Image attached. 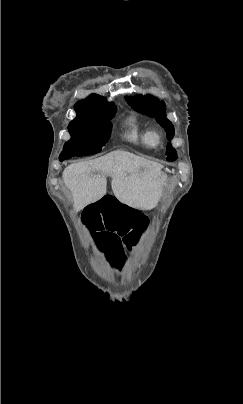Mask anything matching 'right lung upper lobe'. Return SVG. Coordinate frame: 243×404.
Wrapping results in <instances>:
<instances>
[{
  "instance_id": "cb5924a9",
  "label": "right lung upper lobe",
  "mask_w": 243,
  "mask_h": 404,
  "mask_svg": "<svg viewBox=\"0 0 243 404\" xmlns=\"http://www.w3.org/2000/svg\"><path fill=\"white\" fill-rule=\"evenodd\" d=\"M112 108H116L112 102H107L104 97L96 94H92L74 105L77 116L97 114Z\"/></svg>"
}]
</instances>
